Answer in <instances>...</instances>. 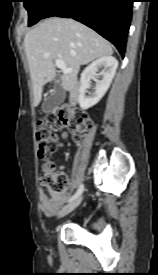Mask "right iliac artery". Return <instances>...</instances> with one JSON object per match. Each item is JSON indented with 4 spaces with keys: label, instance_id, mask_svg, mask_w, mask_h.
I'll return each instance as SVG.
<instances>
[{
    "label": "right iliac artery",
    "instance_id": "82829eb1",
    "mask_svg": "<svg viewBox=\"0 0 158 275\" xmlns=\"http://www.w3.org/2000/svg\"><path fill=\"white\" fill-rule=\"evenodd\" d=\"M84 186L81 184L79 186V189L77 190V192L69 199V202L75 200L77 197H79L81 195V193L83 192Z\"/></svg>",
    "mask_w": 158,
    "mask_h": 275
}]
</instances>
